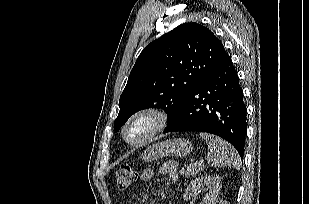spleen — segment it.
<instances>
[{
  "mask_svg": "<svg viewBox=\"0 0 309 204\" xmlns=\"http://www.w3.org/2000/svg\"><path fill=\"white\" fill-rule=\"evenodd\" d=\"M200 136L208 145L207 161L212 167L240 168L241 159L229 143L207 133H200Z\"/></svg>",
  "mask_w": 309,
  "mask_h": 204,
  "instance_id": "obj_1",
  "label": "spleen"
}]
</instances>
